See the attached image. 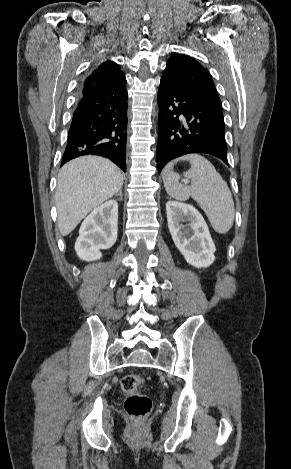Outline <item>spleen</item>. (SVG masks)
<instances>
[{"instance_id": "spleen-1", "label": "spleen", "mask_w": 291, "mask_h": 469, "mask_svg": "<svg viewBox=\"0 0 291 469\" xmlns=\"http://www.w3.org/2000/svg\"><path fill=\"white\" fill-rule=\"evenodd\" d=\"M179 160L189 161L191 168L184 176L191 180L186 186L179 182L180 176L173 172V165ZM169 163L162 172L166 192L180 201L192 197L205 212L213 229L220 234L227 233L235 218L234 201L229 187L215 167L199 154H188Z\"/></svg>"}]
</instances>
